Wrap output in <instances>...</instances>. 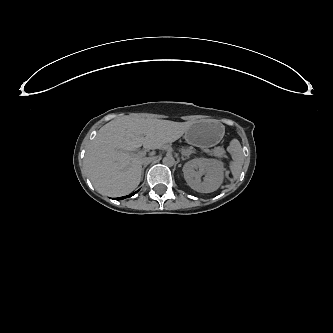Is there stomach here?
Here are the masks:
<instances>
[{"mask_svg":"<svg viewBox=\"0 0 333 333\" xmlns=\"http://www.w3.org/2000/svg\"><path fill=\"white\" fill-rule=\"evenodd\" d=\"M186 140H187V142L189 143V144H191V145H198V146H200L201 145V143L200 142H198V141H196L195 139H193L190 135H187L186 136Z\"/></svg>","mask_w":333,"mask_h":333,"instance_id":"stomach-1","label":"stomach"}]
</instances>
